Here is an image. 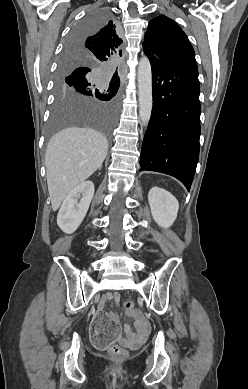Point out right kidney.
I'll use <instances>...</instances> for the list:
<instances>
[{"instance_id":"obj_1","label":"right kidney","mask_w":248,"mask_h":389,"mask_svg":"<svg viewBox=\"0 0 248 389\" xmlns=\"http://www.w3.org/2000/svg\"><path fill=\"white\" fill-rule=\"evenodd\" d=\"M93 195L94 184L91 181H85L70 191L57 215V224L63 232L71 234L76 231L86 216Z\"/></svg>"}]
</instances>
